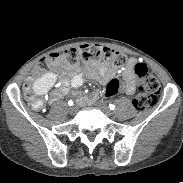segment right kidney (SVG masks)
Listing matches in <instances>:
<instances>
[{
    "instance_id": "ca27d5eb",
    "label": "right kidney",
    "mask_w": 183,
    "mask_h": 183,
    "mask_svg": "<svg viewBox=\"0 0 183 183\" xmlns=\"http://www.w3.org/2000/svg\"><path fill=\"white\" fill-rule=\"evenodd\" d=\"M56 80V75L54 73H45L42 77L38 78L33 83V91L35 95L42 96L46 94L50 87L54 84Z\"/></svg>"
}]
</instances>
